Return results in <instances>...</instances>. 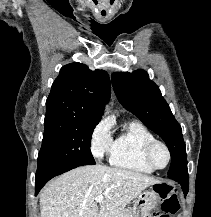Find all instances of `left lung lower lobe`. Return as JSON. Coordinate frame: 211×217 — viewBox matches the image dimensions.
<instances>
[{
  "label": "left lung lower lobe",
  "instance_id": "0a47b994",
  "mask_svg": "<svg viewBox=\"0 0 211 217\" xmlns=\"http://www.w3.org/2000/svg\"><path fill=\"white\" fill-rule=\"evenodd\" d=\"M176 182H178L183 190L184 196L186 197L187 193H188V186H189V182L188 181H184V180H177Z\"/></svg>",
  "mask_w": 211,
  "mask_h": 217
}]
</instances>
